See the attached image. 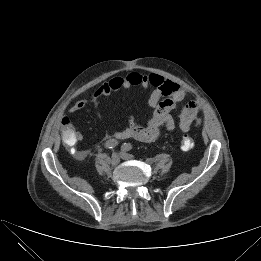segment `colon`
I'll return each instance as SVG.
<instances>
[{
  "mask_svg": "<svg viewBox=\"0 0 261 261\" xmlns=\"http://www.w3.org/2000/svg\"><path fill=\"white\" fill-rule=\"evenodd\" d=\"M62 125V137L66 140V142H72L75 137V131L72 128L70 121L67 117L63 118ZM181 146L182 149L185 151L191 150L194 146V141L188 134H184L181 138Z\"/></svg>",
  "mask_w": 261,
  "mask_h": 261,
  "instance_id": "5ec220e1",
  "label": "colon"
}]
</instances>
